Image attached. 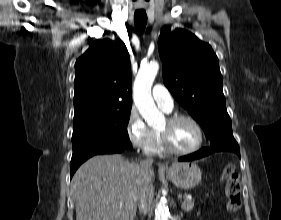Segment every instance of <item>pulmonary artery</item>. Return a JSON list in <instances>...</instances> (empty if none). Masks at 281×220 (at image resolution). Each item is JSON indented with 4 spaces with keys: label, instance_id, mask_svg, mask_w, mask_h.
<instances>
[{
    "label": "pulmonary artery",
    "instance_id": "obj_1",
    "mask_svg": "<svg viewBox=\"0 0 281 220\" xmlns=\"http://www.w3.org/2000/svg\"><path fill=\"white\" fill-rule=\"evenodd\" d=\"M152 95L157 105L165 112H171L173 110L174 100L169 90L164 85H154Z\"/></svg>",
    "mask_w": 281,
    "mask_h": 220
}]
</instances>
